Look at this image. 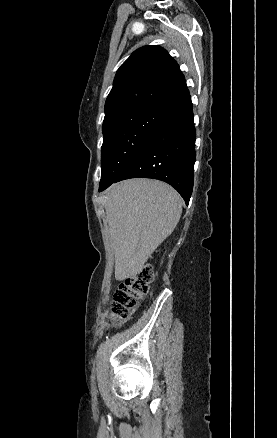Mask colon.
<instances>
[{"mask_svg":"<svg viewBox=\"0 0 277 438\" xmlns=\"http://www.w3.org/2000/svg\"><path fill=\"white\" fill-rule=\"evenodd\" d=\"M151 274L152 269L146 266L141 268L136 275L125 278L119 284L111 306L113 319L127 317L131 311L138 307L139 300L149 294Z\"/></svg>","mask_w":277,"mask_h":438,"instance_id":"5ec220e1","label":"colon"}]
</instances>
